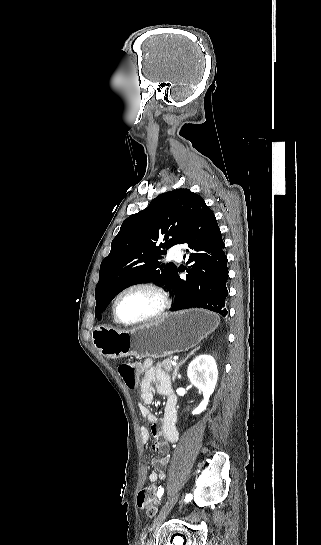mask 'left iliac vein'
<instances>
[{
	"mask_svg": "<svg viewBox=\"0 0 321 545\" xmlns=\"http://www.w3.org/2000/svg\"><path fill=\"white\" fill-rule=\"evenodd\" d=\"M178 497H179V494L178 493H175L173 494L169 499L168 501L166 502V504L163 506L162 510L160 511L153 527H152V532H153V535H155L160 527V525L163 523V521L165 520L166 516L168 515V513L171 511V509L173 508V506L175 505V503L177 502L178 500Z\"/></svg>",
	"mask_w": 321,
	"mask_h": 545,
	"instance_id": "obj_1",
	"label": "left iliac vein"
}]
</instances>
